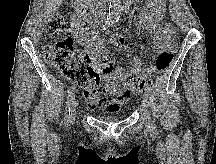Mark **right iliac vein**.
I'll return each mask as SVG.
<instances>
[{
  "label": "right iliac vein",
  "mask_w": 216,
  "mask_h": 164,
  "mask_svg": "<svg viewBox=\"0 0 216 164\" xmlns=\"http://www.w3.org/2000/svg\"><path fill=\"white\" fill-rule=\"evenodd\" d=\"M76 106H77V100H76L75 96L73 95V97H72V99L70 101V112H71L70 118L71 119L75 118V115H76Z\"/></svg>",
  "instance_id": "obj_1"
}]
</instances>
